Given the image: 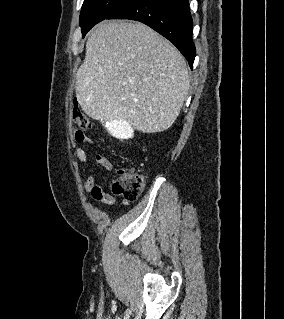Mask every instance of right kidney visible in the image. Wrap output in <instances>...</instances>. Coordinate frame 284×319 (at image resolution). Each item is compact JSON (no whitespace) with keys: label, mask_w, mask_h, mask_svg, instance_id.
Masks as SVG:
<instances>
[{"label":"right kidney","mask_w":284,"mask_h":319,"mask_svg":"<svg viewBox=\"0 0 284 319\" xmlns=\"http://www.w3.org/2000/svg\"><path fill=\"white\" fill-rule=\"evenodd\" d=\"M112 136L118 139H129L133 137V129L126 121H114L107 126Z\"/></svg>","instance_id":"ca27d5eb"}]
</instances>
